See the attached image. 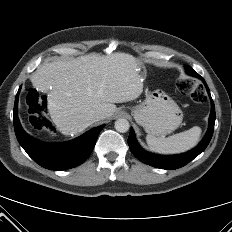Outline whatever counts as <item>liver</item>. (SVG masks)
I'll list each match as a JSON object with an SVG mask.
<instances>
[{"label":"liver","instance_id":"6515ba94","mask_svg":"<svg viewBox=\"0 0 232 232\" xmlns=\"http://www.w3.org/2000/svg\"><path fill=\"white\" fill-rule=\"evenodd\" d=\"M141 67L130 54L91 53L43 64L31 82L40 91H49L51 119L62 134L70 135L94 123L91 115L109 118L117 110L115 103L138 98L143 91Z\"/></svg>","mask_w":232,"mask_h":232}]
</instances>
